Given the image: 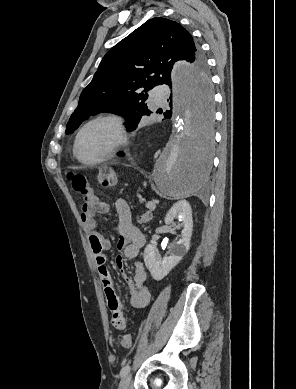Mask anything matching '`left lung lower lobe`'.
<instances>
[{"mask_svg": "<svg viewBox=\"0 0 296 389\" xmlns=\"http://www.w3.org/2000/svg\"><path fill=\"white\" fill-rule=\"evenodd\" d=\"M166 84L172 89V82H168ZM193 88L194 94L197 98H199L205 113L212 114V98L210 88L206 87L201 89L198 87L197 82ZM177 99V92L174 88V95L171 92L168 99L171 108L173 100L174 102H177ZM164 117L166 119H170L172 117V109L164 112ZM208 124L209 123H206L205 127L203 128L204 131L201 133H194L180 156L182 174L195 180L203 178L210 165L211 141L207 135L206 129ZM118 155L122 156L123 153L120 152Z\"/></svg>", "mask_w": 296, "mask_h": 389, "instance_id": "obj_1", "label": "left lung lower lobe"}]
</instances>
